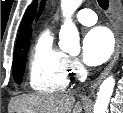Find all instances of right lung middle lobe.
<instances>
[{"mask_svg": "<svg viewBox=\"0 0 123 113\" xmlns=\"http://www.w3.org/2000/svg\"><path fill=\"white\" fill-rule=\"evenodd\" d=\"M29 45H30V42L28 41L16 47L14 51L12 74L17 84H21L23 80V74H24V69L26 65Z\"/></svg>", "mask_w": 123, "mask_h": 113, "instance_id": "dd1d6c3e", "label": "right lung middle lobe"}]
</instances>
